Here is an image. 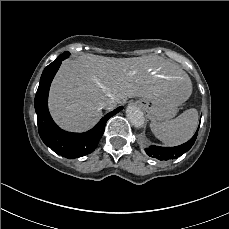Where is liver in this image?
<instances>
[{"label":"liver","mask_w":229,"mask_h":229,"mask_svg":"<svg viewBox=\"0 0 229 229\" xmlns=\"http://www.w3.org/2000/svg\"><path fill=\"white\" fill-rule=\"evenodd\" d=\"M191 89L188 75L159 56L117 59L89 54L64 62L51 88L50 109L62 127L81 130L95 123L106 101L180 100Z\"/></svg>","instance_id":"obj_1"}]
</instances>
